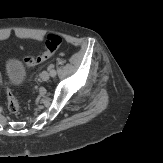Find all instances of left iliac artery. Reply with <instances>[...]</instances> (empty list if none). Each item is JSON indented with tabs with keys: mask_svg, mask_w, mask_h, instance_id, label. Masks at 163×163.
Instances as JSON below:
<instances>
[{
	"mask_svg": "<svg viewBox=\"0 0 163 163\" xmlns=\"http://www.w3.org/2000/svg\"><path fill=\"white\" fill-rule=\"evenodd\" d=\"M48 71L50 72V75H51L52 77H54V76L56 75V71H55V69H54V65H53V64H50V65L48 66Z\"/></svg>",
	"mask_w": 163,
	"mask_h": 163,
	"instance_id": "1",
	"label": "left iliac artery"
}]
</instances>
